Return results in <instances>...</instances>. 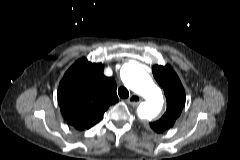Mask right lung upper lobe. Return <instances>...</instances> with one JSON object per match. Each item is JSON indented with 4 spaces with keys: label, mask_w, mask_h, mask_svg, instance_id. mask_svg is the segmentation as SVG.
<instances>
[{
    "label": "right lung upper lobe",
    "mask_w": 240,
    "mask_h": 160,
    "mask_svg": "<svg viewBox=\"0 0 240 160\" xmlns=\"http://www.w3.org/2000/svg\"><path fill=\"white\" fill-rule=\"evenodd\" d=\"M103 70V64L82 58L67 70L59 84L61 113L78 130L95 125L109 106L118 102L116 82L105 77Z\"/></svg>",
    "instance_id": "obj_1"
}]
</instances>
